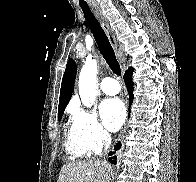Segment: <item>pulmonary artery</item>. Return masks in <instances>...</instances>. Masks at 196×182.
<instances>
[{
    "instance_id": "obj_1",
    "label": "pulmonary artery",
    "mask_w": 196,
    "mask_h": 182,
    "mask_svg": "<svg viewBox=\"0 0 196 182\" xmlns=\"http://www.w3.org/2000/svg\"><path fill=\"white\" fill-rule=\"evenodd\" d=\"M100 88L107 95H115L120 91V84L114 77H105L101 81Z\"/></svg>"
}]
</instances>
